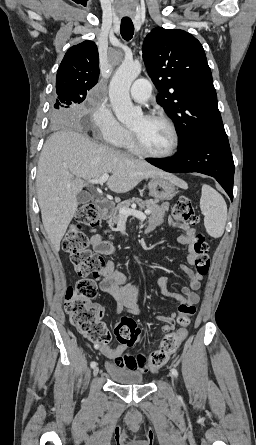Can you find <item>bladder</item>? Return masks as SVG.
Wrapping results in <instances>:
<instances>
[{
    "label": "bladder",
    "instance_id": "obj_1",
    "mask_svg": "<svg viewBox=\"0 0 256 445\" xmlns=\"http://www.w3.org/2000/svg\"><path fill=\"white\" fill-rule=\"evenodd\" d=\"M110 374L113 380L118 384L135 385L143 382V375L138 371H117L110 368Z\"/></svg>",
    "mask_w": 256,
    "mask_h": 445
}]
</instances>
